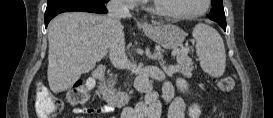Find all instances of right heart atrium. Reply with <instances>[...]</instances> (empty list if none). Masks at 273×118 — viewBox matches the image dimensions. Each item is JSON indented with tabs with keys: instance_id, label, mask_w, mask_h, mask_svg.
<instances>
[{
	"instance_id": "obj_1",
	"label": "right heart atrium",
	"mask_w": 273,
	"mask_h": 118,
	"mask_svg": "<svg viewBox=\"0 0 273 118\" xmlns=\"http://www.w3.org/2000/svg\"><path fill=\"white\" fill-rule=\"evenodd\" d=\"M120 2L126 9H133L137 5V0H121Z\"/></svg>"
}]
</instances>
